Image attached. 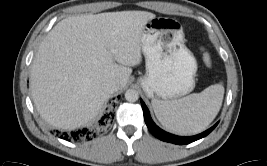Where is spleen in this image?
Here are the masks:
<instances>
[{"mask_svg":"<svg viewBox=\"0 0 267 166\" xmlns=\"http://www.w3.org/2000/svg\"><path fill=\"white\" fill-rule=\"evenodd\" d=\"M224 96L222 84L207 87L178 100H152L158 121L168 130L181 134H197L205 130L218 114Z\"/></svg>","mask_w":267,"mask_h":166,"instance_id":"obj_1","label":"spleen"}]
</instances>
